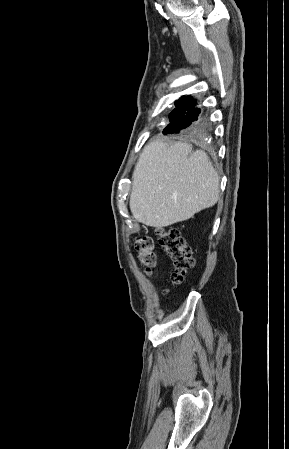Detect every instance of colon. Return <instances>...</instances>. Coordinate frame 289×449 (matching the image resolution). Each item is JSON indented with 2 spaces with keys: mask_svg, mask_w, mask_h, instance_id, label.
I'll use <instances>...</instances> for the list:
<instances>
[{
  "mask_svg": "<svg viewBox=\"0 0 289 449\" xmlns=\"http://www.w3.org/2000/svg\"><path fill=\"white\" fill-rule=\"evenodd\" d=\"M158 241L164 252L173 263L172 283H181L188 271L194 266V258L190 247L175 227H167L158 231ZM138 258L146 273L150 274L156 265L155 244L147 234L136 241Z\"/></svg>",
  "mask_w": 289,
  "mask_h": 449,
  "instance_id": "1",
  "label": "colon"
}]
</instances>
